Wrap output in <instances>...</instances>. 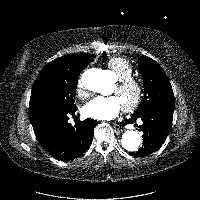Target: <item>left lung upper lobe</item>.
<instances>
[{
	"mask_svg": "<svg viewBox=\"0 0 200 200\" xmlns=\"http://www.w3.org/2000/svg\"><path fill=\"white\" fill-rule=\"evenodd\" d=\"M138 66L144 79V98L132 116L139 115L149 108L173 112V90L161 66L147 56L139 59Z\"/></svg>",
	"mask_w": 200,
	"mask_h": 200,
	"instance_id": "left-lung-upper-lobe-1",
	"label": "left lung upper lobe"
}]
</instances>
